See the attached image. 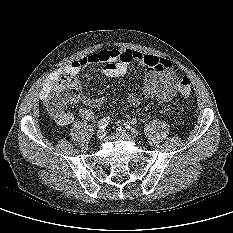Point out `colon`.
Instances as JSON below:
<instances>
[{
    "label": "colon",
    "mask_w": 233,
    "mask_h": 233,
    "mask_svg": "<svg viewBox=\"0 0 233 233\" xmlns=\"http://www.w3.org/2000/svg\"><path fill=\"white\" fill-rule=\"evenodd\" d=\"M178 91L185 97L191 94V83L188 77H182L178 80ZM80 94V85L77 80L70 76L64 77L54 88L50 107L56 112L63 111L68 103L76 102Z\"/></svg>",
    "instance_id": "colon-1"
}]
</instances>
